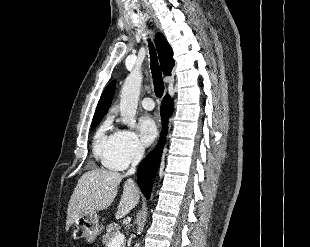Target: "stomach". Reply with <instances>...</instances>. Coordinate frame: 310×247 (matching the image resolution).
<instances>
[{
    "label": "stomach",
    "mask_w": 310,
    "mask_h": 247,
    "mask_svg": "<svg viewBox=\"0 0 310 247\" xmlns=\"http://www.w3.org/2000/svg\"><path fill=\"white\" fill-rule=\"evenodd\" d=\"M78 230L82 231V238L91 243L102 230L96 212H90L84 216L77 217L72 223Z\"/></svg>",
    "instance_id": "1"
}]
</instances>
